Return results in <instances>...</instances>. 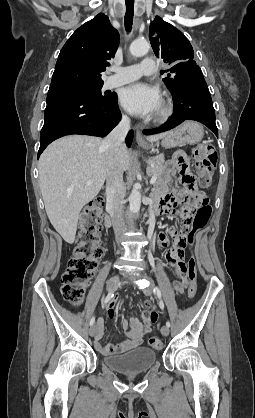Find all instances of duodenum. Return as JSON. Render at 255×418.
<instances>
[{"label":"duodenum","mask_w":255,"mask_h":418,"mask_svg":"<svg viewBox=\"0 0 255 418\" xmlns=\"http://www.w3.org/2000/svg\"><path fill=\"white\" fill-rule=\"evenodd\" d=\"M157 213H158L157 209L151 210L150 217H149V228L153 227L154 218ZM105 225L107 227L111 226V206L109 204L106 205Z\"/></svg>","instance_id":"410a0bca"}]
</instances>
